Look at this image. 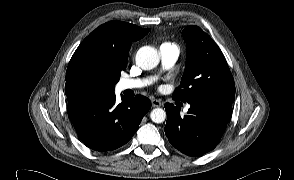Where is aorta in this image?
<instances>
[{"instance_id":"aorta-1","label":"aorta","mask_w":294,"mask_h":180,"mask_svg":"<svg viewBox=\"0 0 294 180\" xmlns=\"http://www.w3.org/2000/svg\"><path fill=\"white\" fill-rule=\"evenodd\" d=\"M160 61L157 50L150 46L141 47L136 54V64L143 70L155 68ZM150 118L154 123L165 121L166 112L162 108H155L150 113Z\"/></svg>"}]
</instances>
